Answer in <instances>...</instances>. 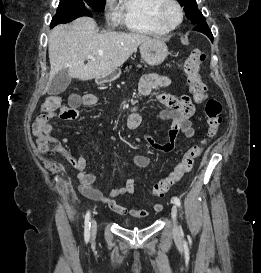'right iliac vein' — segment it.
Here are the masks:
<instances>
[{"label":"right iliac vein","instance_id":"obj_1","mask_svg":"<svg viewBox=\"0 0 261 273\" xmlns=\"http://www.w3.org/2000/svg\"><path fill=\"white\" fill-rule=\"evenodd\" d=\"M96 231H97V222H96L95 219H93L92 222H91V233H92V236H95Z\"/></svg>","mask_w":261,"mask_h":273}]
</instances>
